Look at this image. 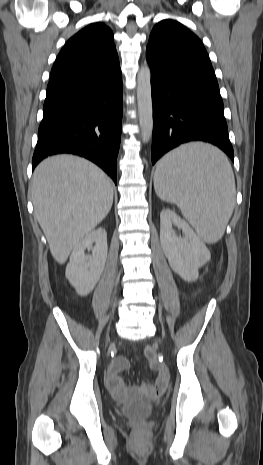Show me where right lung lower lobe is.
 <instances>
[{
  "mask_svg": "<svg viewBox=\"0 0 263 465\" xmlns=\"http://www.w3.org/2000/svg\"><path fill=\"white\" fill-rule=\"evenodd\" d=\"M122 125V73L47 91L32 169L58 153L85 157L116 183Z\"/></svg>",
  "mask_w": 263,
  "mask_h": 465,
  "instance_id": "98d812e1",
  "label": "right lung lower lobe"
}]
</instances>
